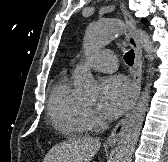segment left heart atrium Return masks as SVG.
<instances>
[{"label":"left heart atrium","instance_id":"left-heart-atrium-1","mask_svg":"<svg viewBox=\"0 0 168 162\" xmlns=\"http://www.w3.org/2000/svg\"><path fill=\"white\" fill-rule=\"evenodd\" d=\"M132 95V86L125 77H107L101 83L99 111L106 118H116L127 108Z\"/></svg>","mask_w":168,"mask_h":162}]
</instances>
